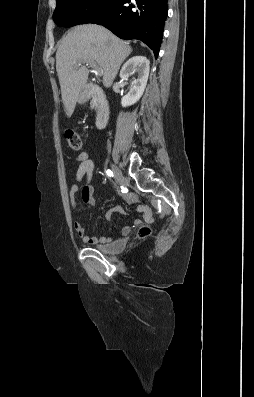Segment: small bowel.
<instances>
[{
    "instance_id": "obj_1",
    "label": "small bowel",
    "mask_w": 254,
    "mask_h": 397,
    "mask_svg": "<svg viewBox=\"0 0 254 397\" xmlns=\"http://www.w3.org/2000/svg\"><path fill=\"white\" fill-rule=\"evenodd\" d=\"M77 161L79 163L78 168L75 172V179L76 183L71 187L70 196L72 199V205L75 206V195L81 190V198L82 200L89 204L94 205L95 201L93 198V185H92V178L94 173V162L88 156V153L83 151L77 156ZM124 199L130 203H136V198L132 195H125ZM113 210H119L118 208H113L110 210L106 217L108 220H111V212ZM138 212L143 214V220L147 223H151L153 221L152 212L150 208L145 205H138L136 207ZM142 224L141 219L134 220V226H139ZM74 228L78 236L82 239L83 242L88 244H107L112 241L111 237L108 236H91L88 235L84 225L80 222L74 223ZM130 227L126 226L123 228L122 233L124 235L129 234Z\"/></svg>"
}]
</instances>
